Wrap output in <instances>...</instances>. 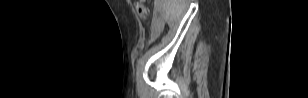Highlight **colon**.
Returning a JSON list of instances; mask_svg holds the SVG:
<instances>
[{
    "instance_id": "obj_1",
    "label": "colon",
    "mask_w": 308,
    "mask_h": 98,
    "mask_svg": "<svg viewBox=\"0 0 308 98\" xmlns=\"http://www.w3.org/2000/svg\"><path fill=\"white\" fill-rule=\"evenodd\" d=\"M135 8H136V11H137L138 15L141 18H146L147 17L148 9H147V6H146V4H145V2L143 0L137 1L135 3Z\"/></svg>"
}]
</instances>
